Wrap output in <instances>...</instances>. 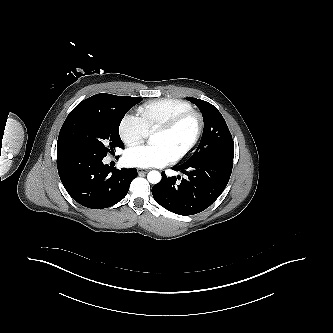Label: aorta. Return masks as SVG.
Returning a JSON list of instances; mask_svg holds the SVG:
<instances>
[{
    "mask_svg": "<svg viewBox=\"0 0 333 333\" xmlns=\"http://www.w3.org/2000/svg\"><path fill=\"white\" fill-rule=\"evenodd\" d=\"M147 179L151 184H157L161 180V174L156 170H152L148 173Z\"/></svg>",
    "mask_w": 333,
    "mask_h": 333,
    "instance_id": "aorta-1",
    "label": "aorta"
}]
</instances>
